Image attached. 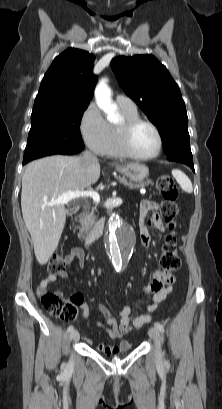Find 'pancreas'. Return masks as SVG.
Instances as JSON below:
<instances>
[{
    "label": "pancreas",
    "mask_w": 222,
    "mask_h": 409,
    "mask_svg": "<svg viewBox=\"0 0 222 409\" xmlns=\"http://www.w3.org/2000/svg\"><path fill=\"white\" fill-rule=\"evenodd\" d=\"M117 179L130 188H144L146 185L151 184L150 180L139 184H133L132 182H128L125 177L118 176ZM96 210V206L90 207V205H87L84 207L83 212L79 215V238L88 239L93 236V230L96 223V216L94 215V212Z\"/></svg>",
    "instance_id": "pancreas-1"
}]
</instances>
